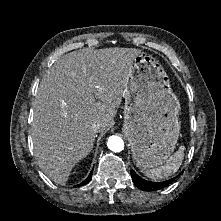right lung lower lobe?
Wrapping results in <instances>:
<instances>
[{"label":"right lung lower lobe","mask_w":221,"mask_h":221,"mask_svg":"<svg viewBox=\"0 0 221 221\" xmlns=\"http://www.w3.org/2000/svg\"><path fill=\"white\" fill-rule=\"evenodd\" d=\"M91 177H92V173L78 186L87 184L90 181Z\"/></svg>","instance_id":"98d812e1"}]
</instances>
